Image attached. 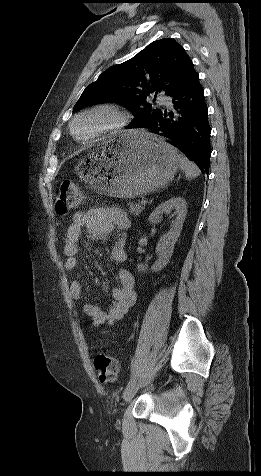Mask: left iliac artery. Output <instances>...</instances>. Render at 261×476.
I'll list each match as a JSON object with an SVG mask.
<instances>
[{"label":"left iliac artery","mask_w":261,"mask_h":476,"mask_svg":"<svg viewBox=\"0 0 261 476\" xmlns=\"http://www.w3.org/2000/svg\"><path fill=\"white\" fill-rule=\"evenodd\" d=\"M135 364H134V358L132 360V365H131V377H130V380L126 386V388L130 387L134 382H135V378H136V368H135Z\"/></svg>","instance_id":"44dca946"}]
</instances>
